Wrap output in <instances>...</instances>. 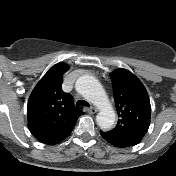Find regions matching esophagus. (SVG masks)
Masks as SVG:
<instances>
[{
	"label": "esophagus",
	"instance_id": "esophagus-1",
	"mask_svg": "<svg viewBox=\"0 0 176 176\" xmlns=\"http://www.w3.org/2000/svg\"><path fill=\"white\" fill-rule=\"evenodd\" d=\"M87 112L89 114H95V113L98 112V109H96L95 107L92 106V107H90V108L87 109Z\"/></svg>",
	"mask_w": 176,
	"mask_h": 176
}]
</instances>
